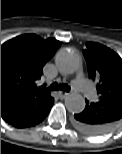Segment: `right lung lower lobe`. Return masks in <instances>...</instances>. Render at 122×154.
<instances>
[{
	"label": "right lung lower lobe",
	"instance_id": "obj_1",
	"mask_svg": "<svg viewBox=\"0 0 122 154\" xmlns=\"http://www.w3.org/2000/svg\"><path fill=\"white\" fill-rule=\"evenodd\" d=\"M53 103H54V99L47 105V107L44 110L29 115L28 117L13 124V126L16 128H25V127H31V126H34V125L40 123L49 114Z\"/></svg>",
	"mask_w": 122,
	"mask_h": 154
}]
</instances>
